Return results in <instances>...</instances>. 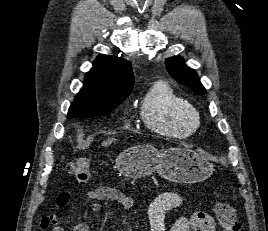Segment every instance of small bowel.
I'll return each mask as SVG.
<instances>
[{
  "instance_id": "obj_1",
  "label": "small bowel",
  "mask_w": 268,
  "mask_h": 231,
  "mask_svg": "<svg viewBox=\"0 0 268 231\" xmlns=\"http://www.w3.org/2000/svg\"><path fill=\"white\" fill-rule=\"evenodd\" d=\"M87 198L92 201L91 211L97 213L101 210V201L109 200L117 203L123 209L130 210L133 207V199L123 193L121 190L112 186H100L87 192ZM184 203V198L174 192H165L159 194L150 204L148 209V230L149 231H166L165 220L166 214L180 207ZM66 204V199L60 201V206ZM137 211L134 216H138ZM50 225H53L52 231H89L87 223L82 222L67 229L58 223L56 215H48L41 218L40 228L46 230ZM213 219L204 212H196L190 217L178 218L169 231H214Z\"/></svg>"
}]
</instances>
